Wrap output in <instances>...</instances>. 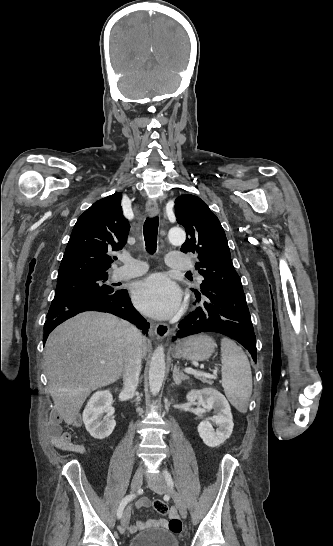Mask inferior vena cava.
<instances>
[{
	"label": "inferior vena cava",
	"instance_id": "obj_1",
	"mask_svg": "<svg viewBox=\"0 0 333 546\" xmlns=\"http://www.w3.org/2000/svg\"><path fill=\"white\" fill-rule=\"evenodd\" d=\"M122 324L124 326V339L126 342L123 368V393L132 398L138 386L141 371L143 337L141 332L133 325L124 321Z\"/></svg>",
	"mask_w": 333,
	"mask_h": 546
}]
</instances>
